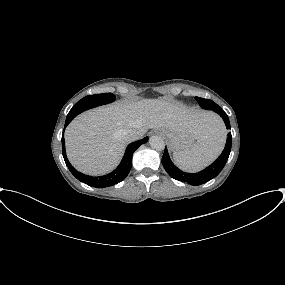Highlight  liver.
Listing matches in <instances>:
<instances>
[{"instance_id":"1","label":"liver","mask_w":285,"mask_h":285,"mask_svg":"<svg viewBox=\"0 0 285 285\" xmlns=\"http://www.w3.org/2000/svg\"><path fill=\"white\" fill-rule=\"evenodd\" d=\"M221 120L213 113L188 109L160 99L122 101L77 116L65 130L68 159L79 171L103 175L120 162L127 130L148 129L188 133L196 140L208 139Z\"/></svg>"}]
</instances>
